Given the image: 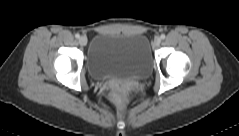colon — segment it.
<instances>
[{
	"mask_svg": "<svg viewBox=\"0 0 239 136\" xmlns=\"http://www.w3.org/2000/svg\"><path fill=\"white\" fill-rule=\"evenodd\" d=\"M128 90H129V88L125 84L114 85L112 88L113 99L116 101H121L125 97Z\"/></svg>",
	"mask_w": 239,
	"mask_h": 136,
	"instance_id": "obj_1",
	"label": "colon"
}]
</instances>
